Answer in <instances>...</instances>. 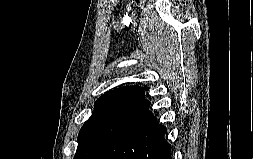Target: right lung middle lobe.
<instances>
[{"label": "right lung middle lobe", "mask_w": 253, "mask_h": 159, "mask_svg": "<svg viewBox=\"0 0 253 159\" xmlns=\"http://www.w3.org/2000/svg\"><path fill=\"white\" fill-rule=\"evenodd\" d=\"M149 102L127 98H100L95 112L78 135L74 159H90L97 151L144 121L151 112Z\"/></svg>", "instance_id": "1"}]
</instances>
